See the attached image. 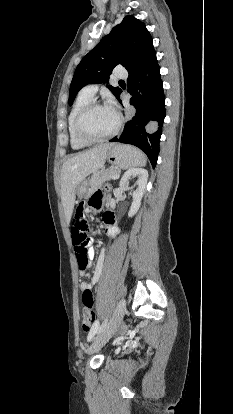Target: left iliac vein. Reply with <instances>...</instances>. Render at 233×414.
I'll list each match as a JSON object with an SVG mask.
<instances>
[{
    "label": "left iliac vein",
    "instance_id": "4c4485c4",
    "mask_svg": "<svg viewBox=\"0 0 233 414\" xmlns=\"http://www.w3.org/2000/svg\"><path fill=\"white\" fill-rule=\"evenodd\" d=\"M126 311V301L124 299H122L114 313L113 316L110 320V322L108 323V325L105 327V329L97 336V338L95 339V341L91 344V346L88 348L87 353L89 355L97 352L98 350H100L108 341L109 339L113 336V334L116 332L117 328L119 327L123 316L125 314Z\"/></svg>",
    "mask_w": 233,
    "mask_h": 414
}]
</instances>
